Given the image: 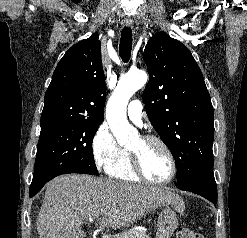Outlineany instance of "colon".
<instances>
[{
    "instance_id": "obj_1",
    "label": "colon",
    "mask_w": 247,
    "mask_h": 238,
    "mask_svg": "<svg viewBox=\"0 0 247 238\" xmlns=\"http://www.w3.org/2000/svg\"><path fill=\"white\" fill-rule=\"evenodd\" d=\"M176 236L177 238H204L200 233L189 228H179Z\"/></svg>"
}]
</instances>
